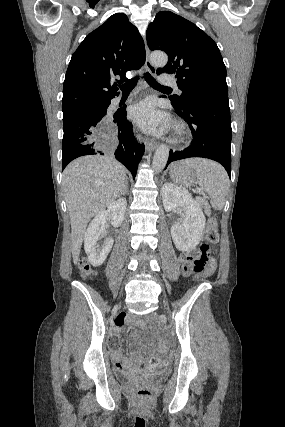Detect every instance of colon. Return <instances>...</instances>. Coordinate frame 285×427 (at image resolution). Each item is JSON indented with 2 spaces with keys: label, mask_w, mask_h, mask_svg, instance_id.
I'll return each instance as SVG.
<instances>
[{
  "label": "colon",
  "mask_w": 285,
  "mask_h": 427,
  "mask_svg": "<svg viewBox=\"0 0 285 427\" xmlns=\"http://www.w3.org/2000/svg\"><path fill=\"white\" fill-rule=\"evenodd\" d=\"M218 238V230L216 228L215 221L212 219L208 222V226L205 231V240L200 245L199 252L186 258V261L183 265V270L186 274L192 275L195 278H201L203 276L210 275L214 271L216 262L215 259L209 254V245L217 244ZM78 268L84 277H90L93 274L91 265L86 259L79 260ZM163 363V360L157 358L143 359V366L148 371L157 370L158 367ZM136 394L139 401L144 403L149 402L152 397L151 389L147 386L138 387Z\"/></svg>",
  "instance_id": "obj_1"
}]
</instances>
